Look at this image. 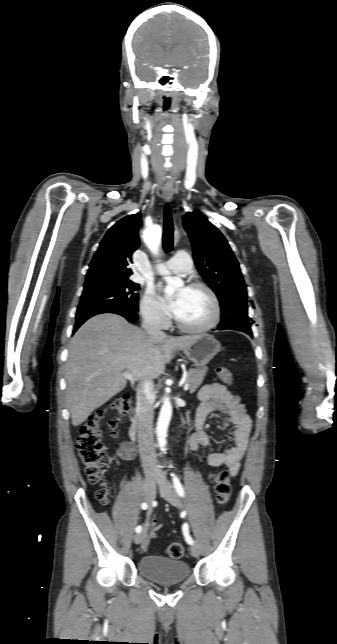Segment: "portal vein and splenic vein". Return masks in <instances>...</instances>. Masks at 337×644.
<instances>
[{"instance_id": "obj_1", "label": "portal vein and splenic vein", "mask_w": 337, "mask_h": 644, "mask_svg": "<svg viewBox=\"0 0 337 644\" xmlns=\"http://www.w3.org/2000/svg\"><path fill=\"white\" fill-rule=\"evenodd\" d=\"M123 376H124L126 379L130 380L131 382H134V381H135V379H134L133 375H132L131 373H129V372H124V373H123ZM188 388H189V384H188V383H185V384H184V390H188Z\"/></svg>"}]
</instances>
